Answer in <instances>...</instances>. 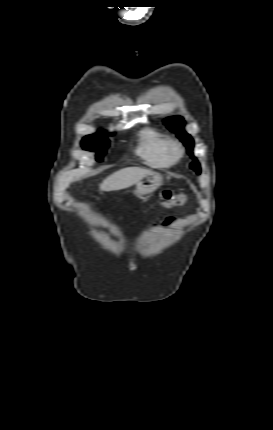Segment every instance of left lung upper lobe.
<instances>
[{
  "label": "left lung upper lobe",
  "mask_w": 273,
  "mask_h": 430,
  "mask_svg": "<svg viewBox=\"0 0 273 430\" xmlns=\"http://www.w3.org/2000/svg\"><path fill=\"white\" fill-rule=\"evenodd\" d=\"M164 122L167 125V127L172 132L176 133L177 136L180 138V140L185 144V146L187 147V149L190 153V156L193 157V162L190 164V167L193 170H195L197 174H200L201 168H200L199 162L196 158H194L193 153H192L193 139L191 138V136L189 134H187L184 131L185 122H184L183 118L180 116H173V117L167 118Z\"/></svg>",
  "instance_id": "obj_1"
}]
</instances>
